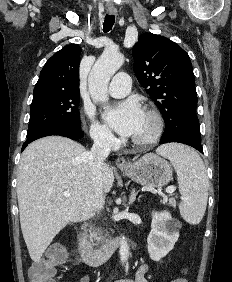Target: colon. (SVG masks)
<instances>
[{
  "label": "colon",
  "instance_id": "1",
  "mask_svg": "<svg viewBox=\"0 0 232 282\" xmlns=\"http://www.w3.org/2000/svg\"><path fill=\"white\" fill-rule=\"evenodd\" d=\"M65 253L61 248L51 251L48 257L34 262L29 271L30 282H55L56 266L63 263ZM172 282H187L184 278H177Z\"/></svg>",
  "mask_w": 232,
  "mask_h": 282
}]
</instances>
